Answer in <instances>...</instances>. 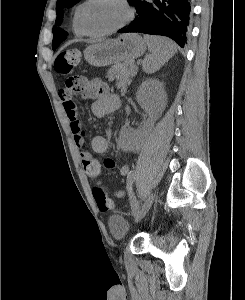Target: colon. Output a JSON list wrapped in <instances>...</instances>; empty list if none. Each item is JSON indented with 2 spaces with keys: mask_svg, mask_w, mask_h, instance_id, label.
Returning <instances> with one entry per match:
<instances>
[{
  "mask_svg": "<svg viewBox=\"0 0 245 300\" xmlns=\"http://www.w3.org/2000/svg\"><path fill=\"white\" fill-rule=\"evenodd\" d=\"M80 62V53L78 50L71 49L61 52L55 60L54 69L61 75L66 76L63 93L72 95L82 90L80 80L69 76ZM100 183V182H98ZM120 194H122L120 192ZM93 196L100 211L106 212L113 208V203L108 197L107 189L103 185L102 190H95L93 187Z\"/></svg>",
  "mask_w": 245,
  "mask_h": 300,
  "instance_id": "5ec220e1",
  "label": "colon"
}]
</instances>
